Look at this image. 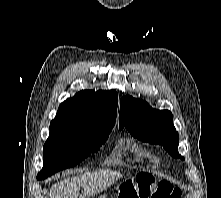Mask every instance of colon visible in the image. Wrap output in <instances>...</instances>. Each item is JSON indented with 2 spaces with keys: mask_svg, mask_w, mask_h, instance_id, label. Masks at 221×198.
Instances as JSON below:
<instances>
[{
  "mask_svg": "<svg viewBox=\"0 0 221 198\" xmlns=\"http://www.w3.org/2000/svg\"><path fill=\"white\" fill-rule=\"evenodd\" d=\"M181 191L168 181H156L148 173H140L135 179L123 182L115 198H180Z\"/></svg>",
  "mask_w": 221,
  "mask_h": 198,
  "instance_id": "5ec220e1",
  "label": "colon"
}]
</instances>
